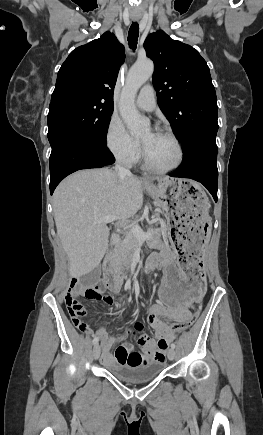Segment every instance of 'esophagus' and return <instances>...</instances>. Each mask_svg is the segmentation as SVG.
<instances>
[{
    "label": "esophagus",
    "instance_id": "obj_1",
    "mask_svg": "<svg viewBox=\"0 0 263 435\" xmlns=\"http://www.w3.org/2000/svg\"><path fill=\"white\" fill-rule=\"evenodd\" d=\"M142 180L145 182H149V179L147 177H142Z\"/></svg>",
    "mask_w": 263,
    "mask_h": 435
}]
</instances>
